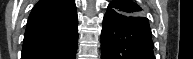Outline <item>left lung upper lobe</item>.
Here are the masks:
<instances>
[{
  "instance_id": "left-lung-upper-lobe-1",
  "label": "left lung upper lobe",
  "mask_w": 193,
  "mask_h": 59,
  "mask_svg": "<svg viewBox=\"0 0 193 59\" xmlns=\"http://www.w3.org/2000/svg\"><path fill=\"white\" fill-rule=\"evenodd\" d=\"M107 11L115 12L134 20L146 19L143 17L142 8L131 0H114L109 4Z\"/></svg>"
}]
</instances>
